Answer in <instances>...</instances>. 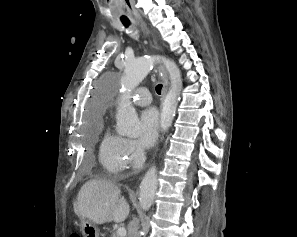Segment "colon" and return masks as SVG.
Listing matches in <instances>:
<instances>
[{"label":"colon","mask_w":297,"mask_h":237,"mask_svg":"<svg viewBox=\"0 0 297 237\" xmlns=\"http://www.w3.org/2000/svg\"><path fill=\"white\" fill-rule=\"evenodd\" d=\"M71 237H79V235H77V234H73Z\"/></svg>","instance_id":"5ec220e1"}]
</instances>
